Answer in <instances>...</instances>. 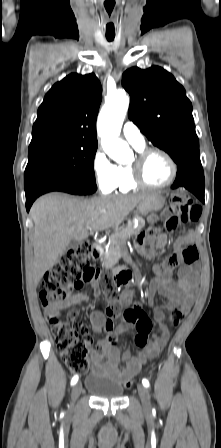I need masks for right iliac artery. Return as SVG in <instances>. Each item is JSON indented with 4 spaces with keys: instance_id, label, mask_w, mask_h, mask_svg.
<instances>
[{
    "instance_id": "right-iliac-artery-1",
    "label": "right iliac artery",
    "mask_w": 221,
    "mask_h": 448,
    "mask_svg": "<svg viewBox=\"0 0 221 448\" xmlns=\"http://www.w3.org/2000/svg\"><path fill=\"white\" fill-rule=\"evenodd\" d=\"M78 381V375L73 376L72 380H71V385H75Z\"/></svg>"
}]
</instances>
